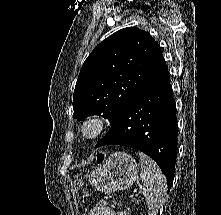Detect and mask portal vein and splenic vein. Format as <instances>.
Wrapping results in <instances>:
<instances>
[{
  "instance_id": "obj_1",
  "label": "portal vein and splenic vein",
  "mask_w": 221,
  "mask_h": 215,
  "mask_svg": "<svg viewBox=\"0 0 221 215\" xmlns=\"http://www.w3.org/2000/svg\"><path fill=\"white\" fill-rule=\"evenodd\" d=\"M134 193H135V194H137V193H138V191H137V190H135V191H134Z\"/></svg>"
}]
</instances>
